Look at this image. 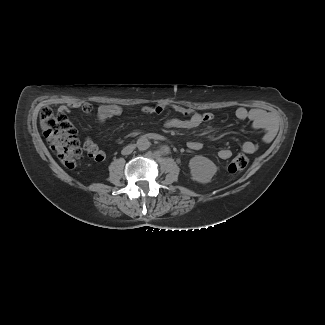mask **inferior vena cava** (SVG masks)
I'll return each mask as SVG.
<instances>
[{
    "instance_id": "obj_1",
    "label": "inferior vena cava",
    "mask_w": 325,
    "mask_h": 325,
    "mask_svg": "<svg viewBox=\"0 0 325 325\" xmlns=\"http://www.w3.org/2000/svg\"><path fill=\"white\" fill-rule=\"evenodd\" d=\"M135 146L134 145H128L126 147L123 148V150L121 151L122 155H129L133 152Z\"/></svg>"
}]
</instances>
